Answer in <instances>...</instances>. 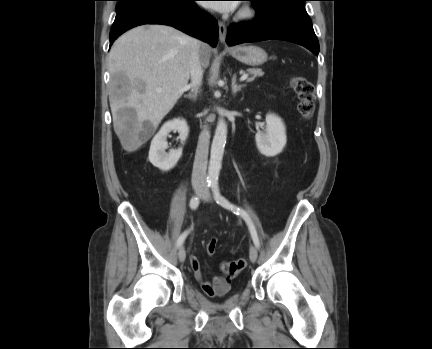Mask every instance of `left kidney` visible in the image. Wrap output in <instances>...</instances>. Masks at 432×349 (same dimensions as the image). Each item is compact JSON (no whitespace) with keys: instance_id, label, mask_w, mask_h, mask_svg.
<instances>
[{"instance_id":"obj_1","label":"left kidney","mask_w":432,"mask_h":349,"mask_svg":"<svg viewBox=\"0 0 432 349\" xmlns=\"http://www.w3.org/2000/svg\"><path fill=\"white\" fill-rule=\"evenodd\" d=\"M286 128L281 118L268 113L266 128L255 135L256 146L261 154L274 157L282 152L286 145Z\"/></svg>"}]
</instances>
